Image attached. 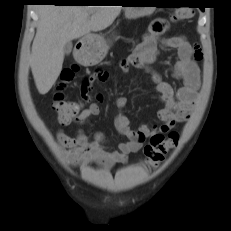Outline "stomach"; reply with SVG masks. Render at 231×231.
Returning a JSON list of instances; mask_svg holds the SVG:
<instances>
[{"label": "stomach", "instance_id": "1", "mask_svg": "<svg viewBox=\"0 0 231 231\" xmlns=\"http://www.w3.org/2000/svg\"><path fill=\"white\" fill-rule=\"evenodd\" d=\"M133 4H155L153 0H133ZM156 7H125V17L137 19L153 13ZM109 50V41L103 36L96 35L86 39L78 51V60L84 65H95L101 62Z\"/></svg>", "mask_w": 231, "mask_h": 231}]
</instances>
